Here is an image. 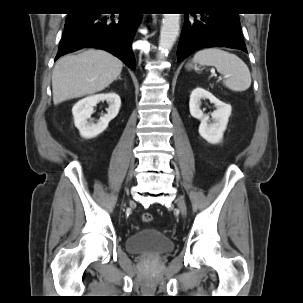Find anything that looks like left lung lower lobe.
<instances>
[{"instance_id": "obj_1", "label": "left lung lower lobe", "mask_w": 303, "mask_h": 303, "mask_svg": "<svg viewBox=\"0 0 303 303\" xmlns=\"http://www.w3.org/2000/svg\"><path fill=\"white\" fill-rule=\"evenodd\" d=\"M189 17L184 25L177 49V60L183 61L193 52L209 47H229L247 53L238 14L211 11Z\"/></svg>"}]
</instances>
